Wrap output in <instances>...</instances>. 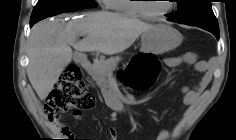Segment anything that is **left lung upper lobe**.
I'll list each match as a JSON object with an SVG mask.
<instances>
[{
  "instance_id": "5c2ea615",
  "label": "left lung upper lobe",
  "mask_w": 236,
  "mask_h": 140,
  "mask_svg": "<svg viewBox=\"0 0 236 140\" xmlns=\"http://www.w3.org/2000/svg\"><path fill=\"white\" fill-rule=\"evenodd\" d=\"M176 2L178 12L167 14L168 20L200 27L211 32L216 38L219 36L218 22L212 11L211 0H176Z\"/></svg>"
}]
</instances>
